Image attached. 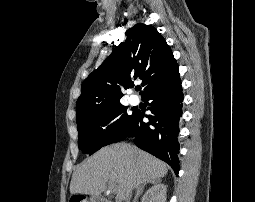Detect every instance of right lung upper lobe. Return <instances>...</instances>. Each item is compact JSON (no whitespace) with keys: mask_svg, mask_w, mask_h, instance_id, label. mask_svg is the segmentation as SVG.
Returning <instances> with one entry per match:
<instances>
[{"mask_svg":"<svg viewBox=\"0 0 255 202\" xmlns=\"http://www.w3.org/2000/svg\"><path fill=\"white\" fill-rule=\"evenodd\" d=\"M101 66L83 82L76 103V119L100 108L120 103L122 89L143 80L142 97L179 78L178 65L165 39L153 26L138 23L125 33Z\"/></svg>","mask_w":255,"mask_h":202,"instance_id":"obj_1","label":"right lung upper lobe"}]
</instances>
